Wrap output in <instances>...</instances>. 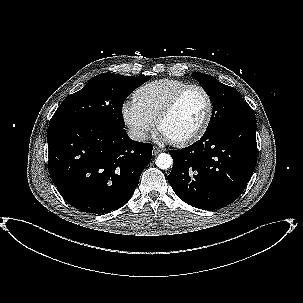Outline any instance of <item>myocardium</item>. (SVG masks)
<instances>
[{
    "label": "myocardium",
    "mask_w": 303,
    "mask_h": 303,
    "mask_svg": "<svg viewBox=\"0 0 303 303\" xmlns=\"http://www.w3.org/2000/svg\"><path fill=\"white\" fill-rule=\"evenodd\" d=\"M192 89L199 90L204 95L207 102V110L202 123L194 133L182 139L172 140L173 144L180 147L195 143L206 133L213 116V101L208 91L198 84H189L185 86L171 98L156 120L157 128L161 131L163 122L175 111L184 95Z\"/></svg>",
    "instance_id": "f54148a6"
}]
</instances>
